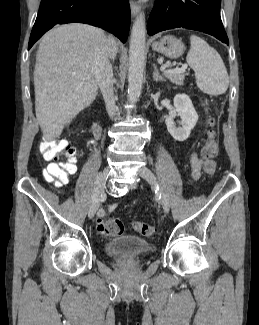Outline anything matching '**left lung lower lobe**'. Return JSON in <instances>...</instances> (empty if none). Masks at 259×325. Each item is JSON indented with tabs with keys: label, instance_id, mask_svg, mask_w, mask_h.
I'll list each match as a JSON object with an SVG mask.
<instances>
[{
	"label": "left lung lower lobe",
	"instance_id": "left-lung-lower-lobe-1",
	"mask_svg": "<svg viewBox=\"0 0 259 325\" xmlns=\"http://www.w3.org/2000/svg\"><path fill=\"white\" fill-rule=\"evenodd\" d=\"M220 4L221 0H156L148 20V34L187 28L208 33L228 45Z\"/></svg>",
	"mask_w": 259,
	"mask_h": 325
}]
</instances>
